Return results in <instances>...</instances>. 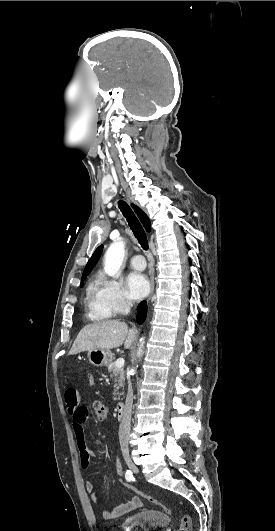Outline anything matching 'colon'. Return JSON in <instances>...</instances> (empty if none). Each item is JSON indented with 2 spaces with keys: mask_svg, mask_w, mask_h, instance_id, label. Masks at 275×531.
<instances>
[{
  "mask_svg": "<svg viewBox=\"0 0 275 531\" xmlns=\"http://www.w3.org/2000/svg\"><path fill=\"white\" fill-rule=\"evenodd\" d=\"M95 414L100 420L106 419L108 415L106 405L100 401L95 402ZM127 486H131L133 488V491L131 493L136 494L137 496H141L142 499L146 500L152 505L161 506L164 510H168L167 507H165L159 500L153 498L150 495L144 494L143 491L137 489L136 487H133L131 484H127ZM179 531H193V523L188 515H184L180 518Z\"/></svg>",
  "mask_w": 275,
  "mask_h": 531,
  "instance_id": "5ec220e1",
  "label": "colon"
}]
</instances>
